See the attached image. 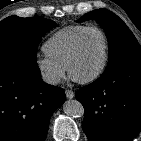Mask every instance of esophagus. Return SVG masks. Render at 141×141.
I'll return each mask as SVG.
<instances>
[{
	"label": "esophagus",
	"mask_w": 141,
	"mask_h": 141,
	"mask_svg": "<svg viewBox=\"0 0 141 141\" xmlns=\"http://www.w3.org/2000/svg\"><path fill=\"white\" fill-rule=\"evenodd\" d=\"M65 94L68 99L74 98V92L70 89L65 90Z\"/></svg>",
	"instance_id": "obj_1"
}]
</instances>
